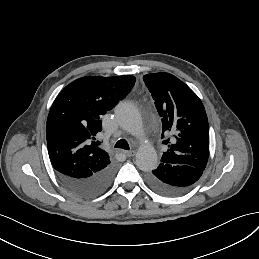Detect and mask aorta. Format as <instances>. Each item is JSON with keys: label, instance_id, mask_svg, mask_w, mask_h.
Here are the masks:
<instances>
[{"label": "aorta", "instance_id": "762f6f07", "mask_svg": "<svg viewBox=\"0 0 259 259\" xmlns=\"http://www.w3.org/2000/svg\"><path fill=\"white\" fill-rule=\"evenodd\" d=\"M117 120L121 127L136 137H142L143 122L136 106L130 102H121L115 109ZM158 157L154 147L142 143L136 153V165L142 171H152L157 167Z\"/></svg>", "mask_w": 259, "mask_h": 259}]
</instances>
